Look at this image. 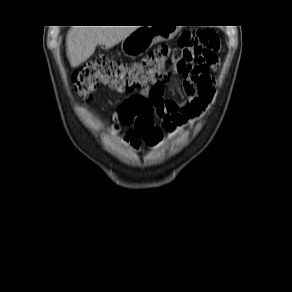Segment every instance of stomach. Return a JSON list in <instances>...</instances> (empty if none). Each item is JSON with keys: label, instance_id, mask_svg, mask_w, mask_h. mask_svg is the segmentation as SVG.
<instances>
[{"label": "stomach", "instance_id": "stomach-1", "mask_svg": "<svg viewBox=\"0 0 292 292\" xmlns=\"http://www.w3.org/2000/svg\"><path fill=\"white\" fill-rule=\"evenodd\" d=\"M178 29L161 30L154 26L139 27L122 41V52L130 57L141 55L155 43L177 33Z\"/></svg>", "mask_w": 292, "mask_h": 292}]
</instances>
